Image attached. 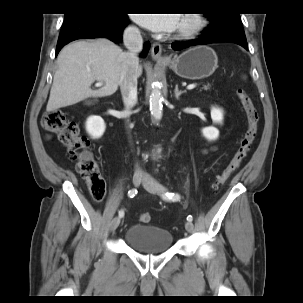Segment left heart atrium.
Masks as SVG:
<instances>
[{"label":"left heart atrium","mask_w":303,"mask_h":303,"mask_svg":"<svg viewBox=\"0 0 303 303\" xmlns=\"http://www.w3.org/2000/svg\"><path fill=\"white\" fill-rule=\"evenodd\" d=\"M135 20L154 32H170L179 25L178 14H135Z\"/></svg>","instance_id":"39dd6f15"}]
</instances>
